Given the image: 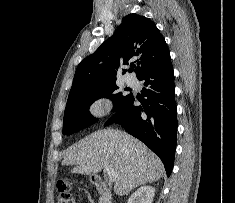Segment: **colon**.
<instances>
[{
  "label": "colon",
  "mask_w": 235,
  "mask_h": 203,
  "mask_svg": "<svg viewBox=\"0 0 235 203\" xmlns=\"http://www.w3.org/2000/svg\"><path fill=\"white\" fill-rule=\"evenodd\" d=\"M59 196L56 203H76L71 184L68 181L61 180L58 183Z\"/></svg>",
  "instance_id": "5ec220e1"
}]
</instances>
